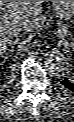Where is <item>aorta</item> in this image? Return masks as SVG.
Segmentation results:
<instances>
[{"mask_svg": "<svg viewBox=\"0 0 74 122\" xmlns=\"http://www.w3.org/2000/svg\"><path fill=\"white\" fill-rule=\"evenodd\" d=\"M43 64L51 72H59L65 66V57L58 49H48L43 55Z\"/></svg>", "mask_w": 74, "mask_h": 122, "instance_id": "762f6f07", "label": "aorta"}]
</instances>
